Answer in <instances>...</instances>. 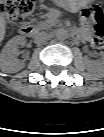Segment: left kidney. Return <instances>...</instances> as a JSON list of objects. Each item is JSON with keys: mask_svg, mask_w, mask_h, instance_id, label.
<instances>
[{"mask_svg": "<svg viewBox=\"0 0 104 137\" xmlns=\"http://www.w3.org/2000/svg\"><path fill=\"white\" fill-rule=\"evenodd\" d=\"M99 69H103V60H98L94 63Z\"/></svg>", "mask_w": 104, "mask_h": 137, "instance_id": "left-kidney-1", "label": "left kidney"}]
</instances>
